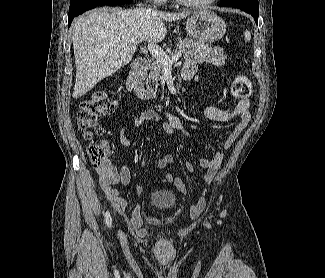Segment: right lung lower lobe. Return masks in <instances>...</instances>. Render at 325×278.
Wrapping results in <instances>:
<instances>
[{
    "mask_svg": "<svg viewBox=\"0 0 325 278\" xmlns=\"http://www.w3.org/2000/svg\"><path fill=\"white\" fill-rule=\"evenodd\" d=\"M132 1L133 0H71L69 8L68 27H70L74 17L82 14L83 12L89 9L104 5L114 6L116 4H127L131 3Z\"/></svg>",
    "mask_w": 325,
    "mask_h": 278,
    "instance_id": "right-lung-lower-lobe-1",
    "label": "right lung lower lobe"
}]
</instances>
